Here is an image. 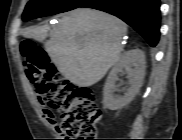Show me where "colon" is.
I'll use <instances>...</instances> for the list:
<instances>
[{"mask_svg":"<svg viewBox=\"0 0 182 140\" xmlns=\"http://www.w3.org/2000/svg\"><path fill=\"white\" fill-rule=\"evenodd\" d=\"M20 49L24 71L39 101L60 112L61 131L74 140H95L102 111L94 91L67 81L32 41H23Z\"/></svg>","mask_w":182,"mask_h":140,"instance_id":"1","label":"colon"}]
</instances>
